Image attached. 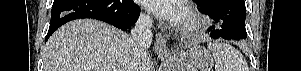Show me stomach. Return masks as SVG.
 <instances>
[{
    "label": "stomach",
    "mask_w": 301,
    "mask_h": 71,
    "mask_svg": "<svg viewBox=\"0 0 301 71\" xmlns=\"http://www.w3.org/2000/svg\"><path fill=\"white\" fill-rule=\"evenodd\" d=\"M171 65L172 71H211L214 61L209 51L194 46L176 55Z\"/></svg>",
    "instance_id": "obj_1"
}]
</instances>
